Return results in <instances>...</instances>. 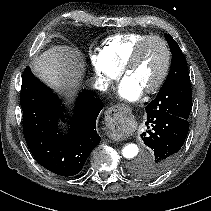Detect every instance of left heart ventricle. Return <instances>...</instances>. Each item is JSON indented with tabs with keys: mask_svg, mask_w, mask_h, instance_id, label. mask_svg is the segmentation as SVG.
I'll return each mask as SVG.
<instances>
[{
	"mask_svg": "<svg viewBox=\"0 0 211 211\" xmlns=\"http://www.w3.org/2000/svg\"><path fill=\"white\" fill-rule=\"evenodd\" d=\"M165 53L158 41H150L145 45L138 61L127 72L143 91L153 86L164 67Z\"/></svg>",
	"mask_w": 211,
	"mask_h": 211,
	"instance_id": "left-heart-ventricle-1",
	"label": "left heart ventricle"
}]
</instances>
